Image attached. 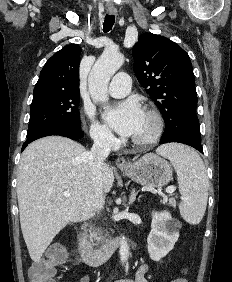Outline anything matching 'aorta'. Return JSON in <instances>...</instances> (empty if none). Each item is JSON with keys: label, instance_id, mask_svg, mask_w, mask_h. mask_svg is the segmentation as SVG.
I'll use <instances>...</instances> for the list:
<instances>
[{"label": "aorta", "instance_id": "aorta-1", "mask_svg": "<svg viewBox=\"0 0 232 282\" xmlns=\"http://www.w3.org/2000/svg\"><path fill=\"white\" fill-rule=\"evenodd\" d=\"M124 56L117 50L104 51L92 67L88 77V88L93 100L106 103L108 101V84L114 73L123 65ZM120 260L125 263L130 249L124 237L120 241Z\"/></svg>", "mask_w": 232, "mask_h": 282}]
</instances>
